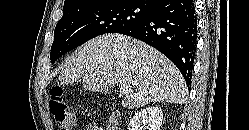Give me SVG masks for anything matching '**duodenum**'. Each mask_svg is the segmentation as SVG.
<instances>
[{
    "label": "duodenum",
    "mask_w": 249,
    "mask_h": 130,
    "mask_svg": "<svg viewBox=\"0 0 249 130\" xmlns=\"http://www.w3.org/2000/svg\"><path fill=\"white\" fill-rule=\"evenodd\" d=\"M106 130H118V117L117 115H113L106 127Z\"/></svg>",
    "instance_id": "duodenum-1"
}]
</instances>
